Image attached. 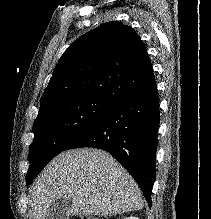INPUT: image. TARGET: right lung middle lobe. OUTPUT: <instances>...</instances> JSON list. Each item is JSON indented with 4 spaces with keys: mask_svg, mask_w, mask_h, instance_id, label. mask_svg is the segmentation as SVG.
<instances>
[{
    "mask_svg": "<svg viewBox=\"0 0 211 219\" xmlns=\"http://www.w3.org/2000/svg\"><path fill=\"white\" fill-rule=\"evenodd\" d=\"M113 105L114 102L100 97L75 98L58 102L37 116L26 184Z\"/></svg>",
    "mask_w": 211,
    "mask_h": 219,
    "instance_id": "1",
    "label": "right lung middle lobe"
}]
</instances>
